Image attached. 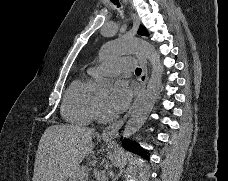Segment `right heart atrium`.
I'll list each match as a JSON object with an SVG mask.
<instances>
[{"label":"right heart atrium","instance_id":"d8ad5b80","mask_svg":"<svg viewBox=\"0 0 228 181\" xmlns=\"http://www.w3.org/2000/svg\"><path fill=\"white\" fill-rule=\"evenodd\" d=\"M102 115H103V107L101 105H99L96 116L102 117Z\"/></svg>","mask_w":228,"mask_h":181}]
</instances>
